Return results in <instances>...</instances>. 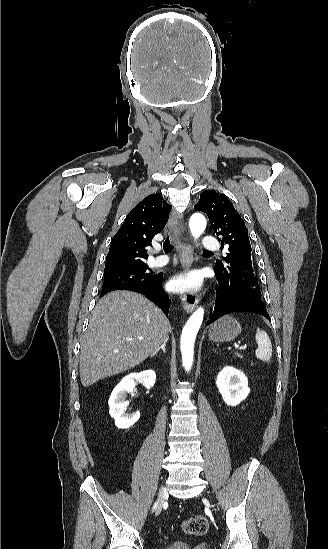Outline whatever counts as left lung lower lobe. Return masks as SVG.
Wrapping results in <instances>:
<instances>
[{"mask_svg":"<svg viewBox=\"0 0 328 549\" xmlns=\"http://www.w3.org/2000/svg\"><path fill=\"white\" fill-rule=\"evenodd\" d=\"M216 277L219 286L217 288L215 307L211 311L208 324L232 312H253L269 319L262 299L256 293L258 289H256L255 285L227 281L217 274Z\"/></svg>","mask_w":328,"mask_h":549,"instance_id":"obj_1","label":"left lung lower lobe"}]
</instances>
